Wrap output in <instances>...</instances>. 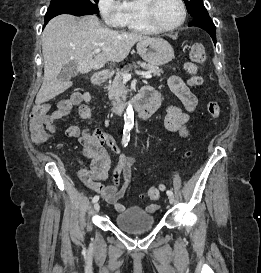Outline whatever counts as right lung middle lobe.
Masks as SVG:
<instances>
[{
    "mask_svg": "<svg viewBox=\"0 0 261 273\" xmlns=\"http://www.w3.org/2000/svg\"><path fill=\"white\" fill-rule=\"evenodd\" d=\"M81 4L87 14L99 13L98 0H51L45 18H53L59 14H75L74 5Z\"/></svg>",
    "mask_w": 261,
    "mask_h": 273,
    "instance_id": "dd1d6c3e",
    "label": "right lung middle lobe"
}]
</instances>
